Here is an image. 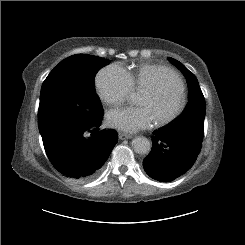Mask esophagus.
<instances>
[{
	"label": "esophagus",
	"mask_w": 245,
	"mask_h": 245,
	"mask_svg": "<svg viewBox=\"0 0 245 245\" xmlns=\"http://www.w3.org/2000/svg\"><path fill=\"white\" fill-rule=\"evenodd\" d=\"M118 137H119L120 140H125V139H131V138H133L132 135L126 134V133H122V132H120L118 134Z\"/></svg>",
	"instance_id": "1"
}]
</instances>
